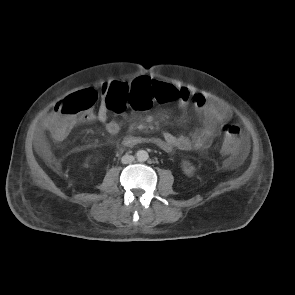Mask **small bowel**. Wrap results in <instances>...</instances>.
I'll list each match as a JSON object with an SVG mask.
<instances>
[{
  "label": "small bowel",
  "instance_id": "c3829d8e",
  "mask_svg": "<svg viewBox=\"0 0 295 295\" xmlns=\"http://www.w3.org/2000/svg\"><path fill=\"white\" fill-rule=\"evenodd\" d=\"M144 82L155 83L148 76H140L127 83V85L129 87H137ZM108 85L109 84H105L103 86V94L105 93ZM172 86L176 90L175 99L179 108L185 109L190 103H192L196 111L202 115L203 125L191 135H174L172 133L165 132L161 138H149L147 141L168 153L172 152L175 148L180 150L203 151L212 143L220 129L231 119V113L222 104L208 100L203 94L192 91L184 85ZM109 111L110 107L106 101L103 100L97 113H90L84 119L87 121H98L104 124L107 132L115 135L120 131V124L116 120L109 119ZM55 117L56 113L53 111L46 118L44 121L45 130L49 131L50 125L54 121ZM143 141L144 140L142 138L136 136H126L122 143L126 147H132ZM39 143L40 145H45L43 134L39 136ZM242 150L243 146L241 144L240 149L237 152L229 153L231 155L227 159V165L229 167H235L240 162Z\"/></svg>",
  "mask_w": 295,
  "mask_h": 295
}]
</instances>
